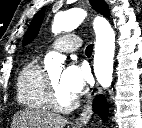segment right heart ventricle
Instances as JSON below:
<instances>
[{"label": "right heart ventricle", "mask_w": 142, "mask_h": 128, "mask_svg": "<svg viewBox=\"0 0 142 128\" xmlns=\"http://www.w3.org/2000/svg\"><path fill=\"white\" fill-rule=\"evenodd\" d=\"M17 99L20 104L29 108H50L47 74L38 59L29 61L21 69L17 78Z\"/></svg>", "instance_id": "1"}]
</instances>
